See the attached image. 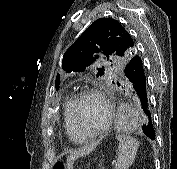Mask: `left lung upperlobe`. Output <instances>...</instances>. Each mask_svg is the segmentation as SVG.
I'll return each mask as SVG.
<instances>
[{"label":"left lung upper lobe","mask_w":177,"mask_h":169,"mask_svg":"<svg viewBox=\"0 0 177 169\" xmlns=\"http://www.w3.org/2000/svg\"><path fill=\"white\" fill-rule=\"evenodd\" d=\"M136 55V42L125 27L117 20L100 18L65 52L62 68L67 72H83L101 59L125 67ZM104 71V67L97 68V77L104 75Z\"/></svg>","instance_id":"obj_1"}]
</instances>
